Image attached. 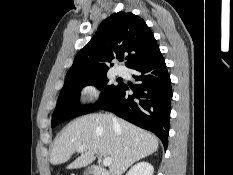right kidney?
<instances>
[{
    "label": "right kidney",
    "instance_id": "obj_1",
    "mask_svg": "<svg viewBox=\"0 0 233 175\" xmlns=\"http://www.w3.org/2000/svg\"><path fill=\"white\" fill-rule=\"evenodd\" d=\"M154 168L148 162H139L134 165L126 175H153Z\"/></svg>",
    "mask_w": 233,
    "mask_h": 175
}]
</instances>
